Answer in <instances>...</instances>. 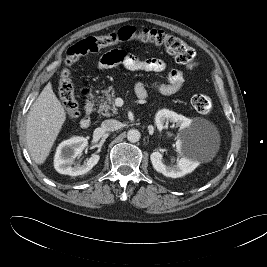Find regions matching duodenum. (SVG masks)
<instances>
[{"instance_id":"duodenum-1","label":"duodenum","mask_w":267,"mask_h":267,"mask_svg":"<svg viewBox=\"0 0 267 267\" xmlns=\"http://www.w3.org/2000/svg\"><path fill=\"white\" fill-rule=\"evenodd\" d=\"M84 94L86 96V103H85V115L80 121V125L82 128H88L91 124V112L93 109V102L91 100L92 91L85 90Z\"/></svg>"}]
</instances>
